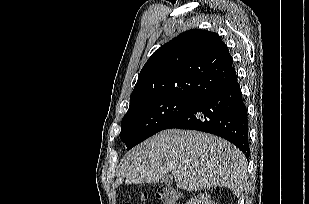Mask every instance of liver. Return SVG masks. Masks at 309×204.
<instances>
[{
	"mask_svg": "<svg viewBox=\"0 0 309 204\" xmlns=\"http://www.w3.org/2000/svg\"><path fill=\"white\" fill-rule=\"evenodd\" d=\"M168 172L180 189L198 191L219 186L239 196L245 184L247 162L239 149L220 137L169 129L124 156L115 184L156 183Z\"/></svg>",
	"mask_w": 309,
	"mask_h": 204,
	"instance_id": "1",
	"label": "liver"
}]
</instances>
